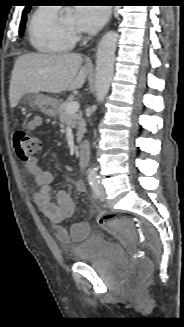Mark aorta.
<instances>
[{
    "label": "aorta",
    "mask_w": 184,
    "mask_h": 327,
    "mask_svg": "<svg viewBox=\"0 0 184 327\" xmlns=\"http://www.w3.org/2000/svg\"><path fill=\"white\" fill-rule=\"evenodd\" d=\"M118 37L117 32L108 31L103 35L97 47L95 82L97 102L104 100L112 82ZM88 177L97 178V170L90 168Z\"/></svg>",
    "instance_id": "obj_1"
}]
</instances>
